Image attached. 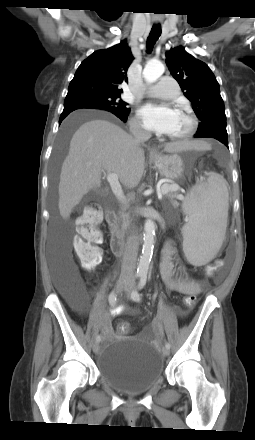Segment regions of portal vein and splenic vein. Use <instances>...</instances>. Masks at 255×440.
<instances>
[{
	"label": "portal vein and splenic vein",
	"instance_id": "18ae733b",
	"mask_svg": "<svg viewBox=\"0 0 255 440\" xmlns=\"http://www.w3.org/2000/svg\"><path fill=\"white\" fill-rule=\"evenodd\" d=\"M107 181L110 184V187L112 189V192L114 193V195L122 202L125 201V196L124 193L122 191L121 185L118 181V176L115 173H108L107 174ZM179 187L178 186H172L169 185L167 186L165 189L161 190L162 194H166L169 191H175L177 190ZM179 199H182V196H178Z\"/></svg>",
	"mask_w": 255,
	"mask_h": 440
}]
</instances>
